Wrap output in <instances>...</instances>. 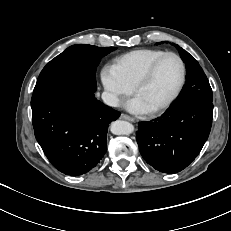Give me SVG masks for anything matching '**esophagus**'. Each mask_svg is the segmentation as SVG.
Returning a JSON list of instances; mask_svg holds the SVG:
<instances>
[{"label": "esophagus", "mask_w": 231, "mask_h": 231, "mask_svg": "<svg viewBox=\"0 0 231 231\" xmlns=\"http://www.w3.org/2000/svg\"><path fill=\"white\" fill-rule=\"evenodd\" d=\"M120 118L123 119V120L130 121V122H133V121H134V118H133V117H131V116H129V115H126V114H122V115L120 116Z\"/></svg>", "instance_id": "esophagus-1"}]
</instances>
